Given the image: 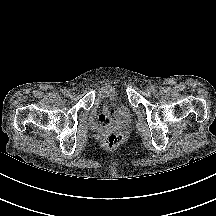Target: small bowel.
Masks as SVG:
<instances>
[{"mask_svg": "<svg viewBox=\"0 0 216 216\" xmlns=\"http://www.w3.org/2000/svg\"><path fill=\"white\" fill-rule=\"evenodd\" d=\"M113 114L114 112L107 108H104L100 113L95 115V121L98 124H106L109 122L110 117H112Z\"/></svg>", "mask_w": 216, "mask_h": 216, "instance_id": "small-bowel-1", "label": "small bowel"}]
</instances>
